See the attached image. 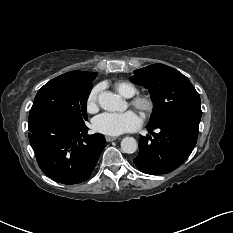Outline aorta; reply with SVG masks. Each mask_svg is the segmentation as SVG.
<instances>
[{
  "label": "aorta",
  "mask_w": 233,
  "mask_h": 233,
  "mask_svg": "<svg viewBox=\"0 0 233 233\" xmlns=\"http://www.w3.org/2000/svg\"><path fill=\"white\" fill-rule=\"evenodd\" d=\"M98 103L106 111L115 112L125 109V102L119 95L105 91L99 94ZM137 141L133 137H125L121 141V149L124 153L132 154L137 150Z\"/></svg>",
  "instance_id": "aorta-1"
}]
</instances>
